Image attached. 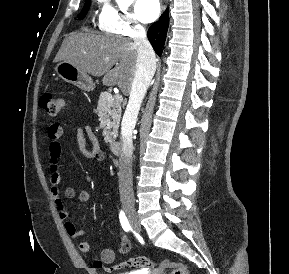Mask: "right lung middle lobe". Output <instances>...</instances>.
<instances>
[{
    "label": "right lung middle lobe",
    "instance_id": "1",
    "mask_svg": "<svg viewBox=\"0 0 289 274\" xmlns=\"http://www.w3.org/2000/svg\"><path fill=\"white\" fill-rule=\"evenodd\" d=\"M90 5H91V0H86L84 8L82 9L81 13L78 15L79 19H83L86 16V14L90 8Z\"/></svg>",
    "mask_w": 289,
    "mask_h": 274
}]
</instances>
